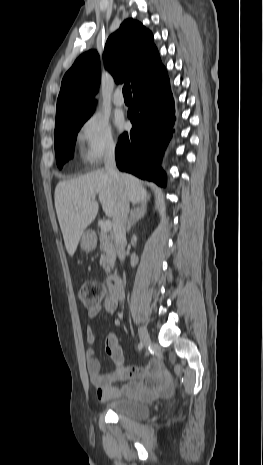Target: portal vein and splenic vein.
Masks as SVG:
<instances>
[{"instance_id": "obj_1", "label": "portal vein and splenic vein", "mask_w": 263, "mask_h": 465, "mask_svg": "<svg viewBox=\"0 0 263 465\" xmlns=\"http://www.w3.org/2000/svg\"><path fill=\"white\" fill-rule=\"evenodd\" d=\"M112 228V222L111 220H105L102 224H101V231L103 232H108L110 231Z\"/></svg>"}]
</instances>
